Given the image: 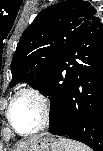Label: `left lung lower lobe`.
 I'll list each match as a JSON object with an SVG mask.
<instances>
[{
    "label": "left lung lower lobe",
    "mask_w": 103,
    "mask_h": 151,
    "mask_svg": "<svg viewBox=\"0 0 103 151\" xmlns=\"http://www.w3.org/2000/svg\"><path fill=\"white\" fill-rule=\"evenodd\" d=\"M39 90L50 99L51 133L103 151V24L79 36Z\"/></svg>",
    "instance_id": "1"
}]
</instances>
